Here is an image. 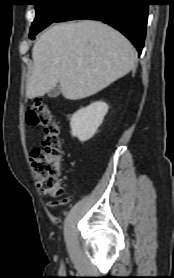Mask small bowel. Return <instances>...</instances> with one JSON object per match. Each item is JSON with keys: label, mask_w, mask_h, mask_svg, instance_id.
I'll return each instance as SVG.
<instances>
[{"label": "small bowel", "mask_w": 174, "mask_h": 278, "mask_svg": "<svg viewBox=\"0 0 174 278\" xmlns=\"http://www.w3.org/2000/svg\"><path fill=\"white\" fill-rule=\"evenodd\" d=\"M59 204H60V203H51V204H50V207H53V208H54V207H57Z\"/></svg>", "instance_id": "small-bowel-1"}]
</instances>
